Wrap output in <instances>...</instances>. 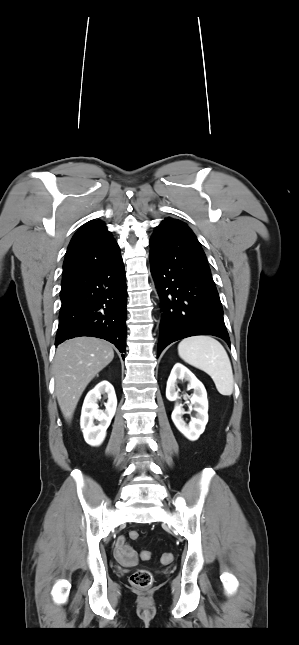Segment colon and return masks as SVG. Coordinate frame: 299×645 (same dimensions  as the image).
<instances>
[{"mask_svg":"<svg viewBox=\"0 0 299 645\" xmlns=\"http://www.w3.org/2000/svg\"><path fill=\"white\" fill-rule=\"evenodd\" d=\"M130 538L132 540H137L139 538V533L137 531H131L129 534ZM151 557V553L149 551H142L141 552V558L143 560H148ZM173 560V555L171 553H163L161 556V562L164 564H168ZM130 583L137 587V588H147L151 585L152 583V575L148 570L145 569H139L132 573L130 576Z\"/></svg>","mask_w":299,"mask_h":645,"instance_id":"obj_1","label":"colon"}]
</instances>
